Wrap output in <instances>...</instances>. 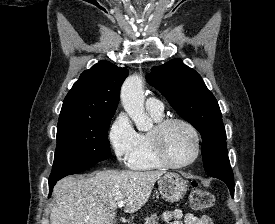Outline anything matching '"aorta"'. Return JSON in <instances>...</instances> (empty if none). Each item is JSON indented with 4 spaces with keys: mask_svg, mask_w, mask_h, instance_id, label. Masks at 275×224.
I'll return each mask as SVG.
<instances>
[{
    "mask_svg": "<svg viewBox=\"0 0 275 224\" xmlns=\"http://www.w3.org/2000/svg\"><path fill=\"white\" fill-rule=\"evenodd\" d=\"M144 100L142 78L139 75L128 77L121 88V101L139 131H147L152 126L151 119L145 113Z\"/></svg>",
    "mask_w": 275,
    "mask_h": 224,
    "instance_id": "aorta-1",
    "label": "aorta"
}]
</instances>
